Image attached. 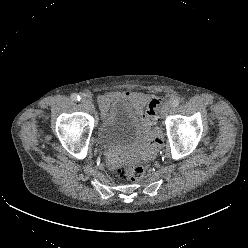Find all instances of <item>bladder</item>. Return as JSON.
Masks as SVG:
<instances>
[{"label": "bladder", "mask_w": 248, "mask_h": 248, "mask_svg": "<svg viewBox=\"0 0 248 248\" xmlns=\"http://www.w3.org/2000/svg\"><path fill=\"white\" fill-rule=\"evenodd\" d=\"M145 123L125 100L115 102L104 116L97 132V142L103 148L129 145L141 137Z\"/></svg>", "instance_id": "1"}]
</instances>
